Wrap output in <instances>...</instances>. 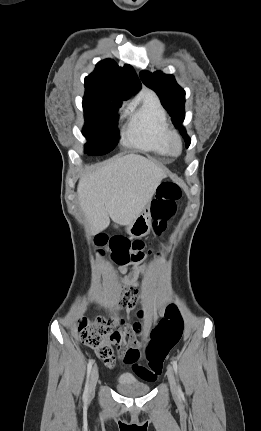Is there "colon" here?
<instances>
[{"mask_svg": "<svg viewBox=\"0 0 261 431\" xmlns=\"http://www.w3.org/2000/svg\"><path fill=\"white\" fill-rule=\"evenodd\" d=\"M180 197L181 190L175 183L164 182L159 186L151 208L156 234H161L165 230L167 220L174 214L176 202ZM97 244L102 248L108 247L112 260L119 266H124L129 262L141 261L152 251L151 243L130 241L123 236L108 238L105 235H100L97 237ZM136 290L138 291V289ZM77 328L83 343L96 349L98 356L106 364L111 365L114 361V346L119 341V335L117 332L111 331L107 320L103 317L94 319L83 317L78 321ZM137 328L140 329L141 327ZM182 333V317L178 309L171 305L166 309L164 317L152 333L151 343L146 350L148 367L135 366L133 369V372L140 376L143 383H155L159 380L163 360L179 342ZM129 356L135 359L137 352L131 351ZM128 367H133V362H128Z\"/></svg>", "mask_w": 261, "mask_h": 431, "instance_id": "1", "label": "colon"}]
</instances>
